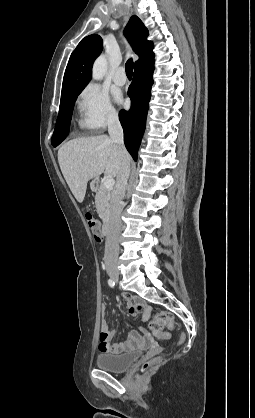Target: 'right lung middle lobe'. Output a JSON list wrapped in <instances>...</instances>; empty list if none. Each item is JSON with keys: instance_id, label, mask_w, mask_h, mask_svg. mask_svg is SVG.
<instances>
[{"instance_id": "dd1d6c3e", "label": "right lung middle lobe", "mask_w": 255, "mask_h": 418, "mask_svg": "<svg viewBox=\"0 0 255 418\" xmlns=\"http://www.w3.org/2000/svg\"><path fill=\"white\" fill-rule=\"evenodd\" d=\"M83 89H78L61 94L59 114L57 117L56 127L52 136V145L56 147L68 135L72 112L77 96Z\"/></svg>"}]
</instances>
